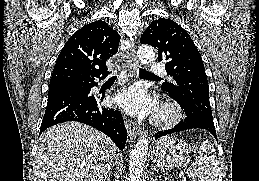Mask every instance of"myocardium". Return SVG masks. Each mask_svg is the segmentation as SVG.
<instances>
[{
	"instance_id": "obj_1",
	"label": "myocardium",
	"mask_w": 259,
	"mask_h": 181,
	"mask_svg": "<svg viewBox=\"0 0 259 181\" xmlns=\"http://www.w3.org/2000/svg\"><path fill=\"white\" fill-rule=\"evenodd\" d=\"M183 116L181 106L173 101L162 103L154 116V124L159 127H170L178 123Z\"/></svg>"
}]
</instances>
